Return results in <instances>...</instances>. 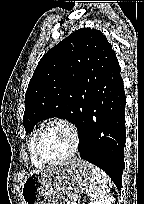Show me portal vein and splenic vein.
Instances as JSON below:
<instances>
[{"mask_svg":"<svg viewBox=\"0 0 144 204\" xmlns=\"http://www.w3.org/2000/svg\"><path fill=\"white\" fill-rule=\"evenodd\" d=\"M71 204H76V202L72 200V203H71Z\"/></svg>","mask_w":144,"mask_h":204,"instance_id":"portal-vein-and-splenic-vein-1","label":"portal vein and splenic vein"}]
</instances>
